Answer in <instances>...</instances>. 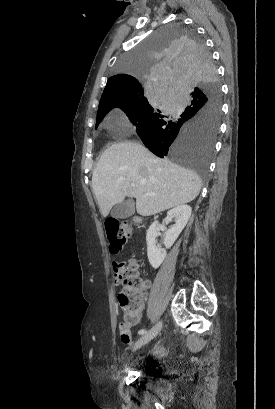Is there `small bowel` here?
<instances>
[{
    "label": "small bowel",
    "mask_w": 275,
    "mask_h": 409,
    "mask_svg": "<svg viewBox=\"0 0 275 409\" xmlns=\"http://www.w3.org/2000/svg\"><path fill=\"white\" fill-rule=\"evenodd\" d=\"M115 273V279H114V287L115 288H120L121 287V279L123 278V275L119 273L118 269L114 270ZM119 341L123 342V345L125 347H130L132 343L134 342L132 340V334L129 333L127 330H122L121 333L119 334ZM152 353L156 355H161L162 351L159 347V345H155L154 348L152 349Z\"/></svg>",
    "instance_id": "1"
}]
</instances>
